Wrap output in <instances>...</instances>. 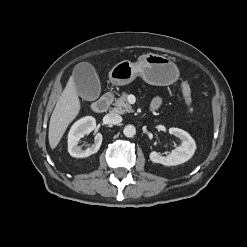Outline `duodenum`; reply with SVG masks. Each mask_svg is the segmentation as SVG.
<instances>
[{
	"label": "duodenum",
	"instance_id": "1",
	"mask_svg": "<svg viewBox=\"0 0 247 247\" xmlns=\"http://www.w3.org/2000/svg\"><path fill=\"white\" fill-rule=\"evenodd\" d=\"M112 102V95L111 94H105L101 96L99 99L94 101L91 105V108L96 113H102L105 112L110 104Z\"/></svg>",
	"mask_w": 247,
	"mask_h": 247
}]
</instances>
